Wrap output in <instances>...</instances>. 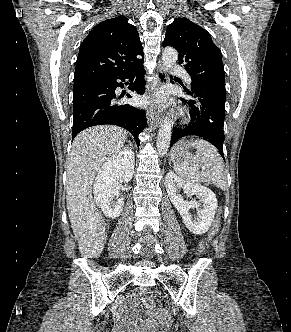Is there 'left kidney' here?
Instances as JSON below:
<instances>
[{"label":"left kidney","instance_id":"obj_1","mask_svg":"<svg viewBox=\"0 0 291 332\" xmlns=\"http://www.w3.org/2000/svg\"><path fill=\"white\" fill-rule=\"evenodd\" d=\"M165 185L168 196L182 216L183 222L190 232L202 235L209 229L218 206L215 194L206 186L195 184L179 178L170 171L165 177ZM183 190L188 196L196 195L200 200L187 201L179 194ZM202 205V206H201ZM198 209V216L192 217L189 210Z\"/></svg>","mask_w":291,"mask_h":332}]
</instances>
